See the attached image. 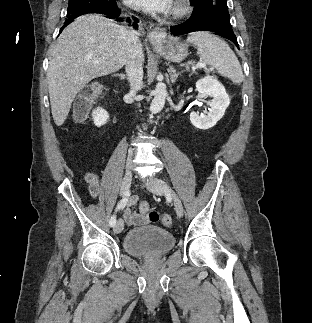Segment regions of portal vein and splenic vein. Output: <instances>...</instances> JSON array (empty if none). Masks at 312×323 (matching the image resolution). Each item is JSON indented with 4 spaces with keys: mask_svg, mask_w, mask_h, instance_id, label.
<instances>
[{
    "mask_svg": "<svg viewBox=\"0 0 312 323\" xmlns=\"http://www.w3.org/2000/svg\"><path fill=\"white\" fill-rule=\"evenodd\" d=\"M94 64H99V62H94ZM196 68H205V64H202V62H197L196 66H193L192 70H196Z\"/></svg>",
    "mask_w": 312,
    "mask_h": 323,
    "instance_id": "obj_1",
    "label": "portal vein and splenic vein"
}]
</instances>
